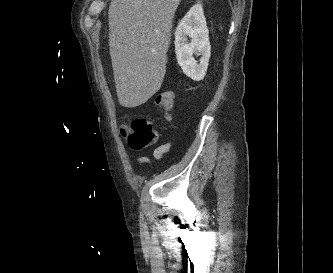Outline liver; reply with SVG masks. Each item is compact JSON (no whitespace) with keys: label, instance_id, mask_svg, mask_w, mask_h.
Here are the masks:
<instances>
[{"label":"liver","instance_id":"1","mask_svg":"<svg viewBox=\"0 0 333 273\" xmlns=\"http://www.w3.org/2000/svg\"><path fill=\"white\" fill-rule=\"evenodd\" d=\"M181 0H111L109 46L120 105L144 104L161 87Z\"/></svg>","mask_w":333,"mask_h":273}]
</instances>
